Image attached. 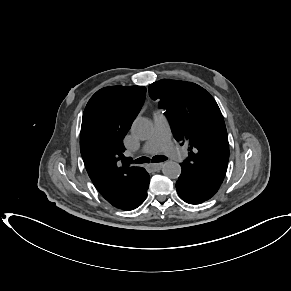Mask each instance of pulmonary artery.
<instances>
[{"instance_id":"e3ab8cb5","label":"pulmonary artery","mask_w":291,"mask_h":291,"mask_svg":"<svg viewBox=\"0 0 291 291\" xmlns=\"http://www.w3.org/2000/svg\"><path fill=\"white\" fill-rule=\"evenodd\" d=\"M154 129L152 136L144 143L142 151L146 154L164 152L175 161L182 159V152L171 141L169 122L161 111L153 113Z\"/></svg>"}]
</instances>
